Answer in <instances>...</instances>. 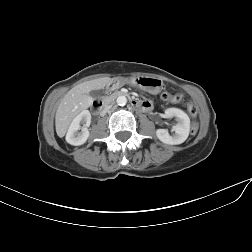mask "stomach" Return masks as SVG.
Returning a JSON list of instances; mask_svg holds the SVG:
<instances>
[{
    "instance_id": "0dacf381",
    "label": "stomach",
    "mask_w": 252,
    "mask_h": 252,
    "mask_svg": "<svg viewBox=\"0 0 252 252\" xmlns=\"http://www.w3.org/2000/svg\"><path fill=\"white\" fill-rule=\"evenodd\" d=\"M128 82L150 94H158L162 88L161 80L152 76H137L131 78Z\"/></svg>"
}]
</instances>
